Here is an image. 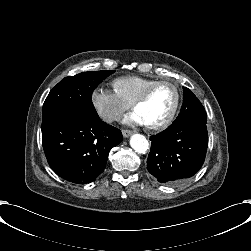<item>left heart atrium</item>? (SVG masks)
Segmentation results:
<instances>
[{
    "label": "left heart atrium",
    "instance_id": "39dd6f15",
    "mask_svg": "<svg viewBox=\"0 0 251 251\" xmlns=\"http://www.w3.org/2000/svg\"><path fill=\"white\" fill-rule=\"evenodd\" d=\"M123 123H126V124H139V125H142V124H145L144 120H143V117L141 116V114L135 110L134 112L126 115L124 118H123Z\"/></svg>",
    "mask_w": 251,
    "mask_h": 251
}]
</instances>
